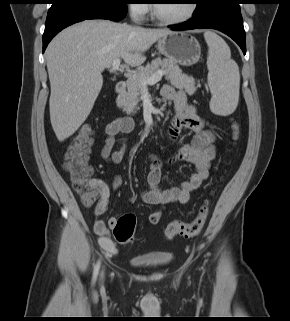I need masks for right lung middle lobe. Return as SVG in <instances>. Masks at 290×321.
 Wrapping results in <instances>:
<instances>
[{"mask_svg":"<svg viewBox=\"0 0 290 321\" xmlns=\"http://www.w3.org/2000/svg\"><path fill=\"white\" fill-rule=\"evenodd\" d=\"M128 3L129 0H52V6L70 4L91 8L127 7Z\"/></svg>","mask_w":290,"mask_h":321,"instance_id":"right-lung-middle-lobe-1","label":"right lung middle lobe"}]
</instances>
